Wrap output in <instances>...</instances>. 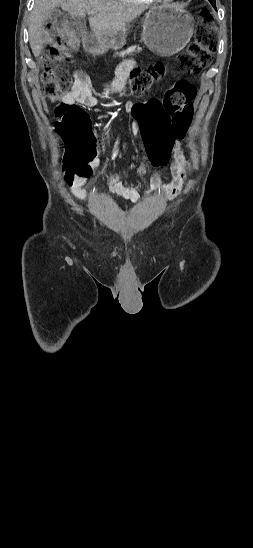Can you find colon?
Returning a JSON list of instances; mask_svg holds the SVG:
<instances>
[{
    "mask_svg": "<svg viewBox=\"0 0 253 548\" xmlns=\"http://www.w3.org/2000/svg\"><path fill=\"white\" fill-rule=\"evenodd\" d=\"M204 24L196 39L176 57L178 68L189 74H199L211 61L216 40L210 24V15L203 11ZM71 44L63 43L50 47L42 58L43 93L50 100H57L67 94L71 78L64 65L70 60ZM164 74L161 64H154L146 71L135 69L125 80L124 92L140 97L147 94L153 84ZM167 94L157 89L152 98H142L134 107L130 119L136 133H141L146 143L147 153L155 166H166L171 157V145L176 137H183L193 113V99L196 88L189 84L187 76H176L165 83ZM57 128L65 142L63 169L65 178L88 176L91 173L89 162L97 154V142L91 131L86 111L76 104L60 103L56 108ZM187 166L184 160L183 168Z\"/></svg>",
    "mask_w": 253,
    "mask_h": 548,
    "instance_id": "colon-1",
    "label": "colon"
}]
</instances>
